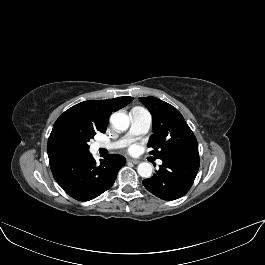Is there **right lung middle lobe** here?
Here are the masks:
<instances>
[{
  "label": "right lung middle lobe",
  "instance_id": "right-lung-middle-lobe-1",
  "mask_svg": "<svg viewBox=\"0 0 265 265\" xmlns=\"http://www.w3.org/2000/svg\"><path fill=\"white\" fill-rule=\"evenodd\" d=\"M95 133L89 131L70 130L65 132L60 139L63 148L72 156L89 153L88 142Z\"/></svg>",
  "mask_w": 265,
  "mask_h": 265
}]
</instances>
